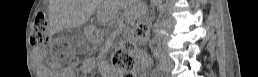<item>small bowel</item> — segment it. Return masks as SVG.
Masks as SVG:
<instances>
[{"label": "small bowel", "mask_w": 258, "mask_h": 77, "mask_svg": "<svg viewBox=\"0 0 258 77\" xmlns=\"http://www.w3.org/2000/svg\"><path fill=\"white\" fill-rule=\"evenodd\" d=\"M144 71V67L143 66H140L138 69H137V73H142Z\"/></svg>", "instance_id": "obj_1"}]
</instances>
